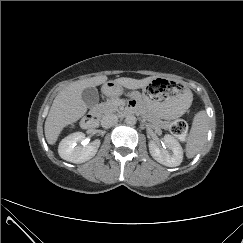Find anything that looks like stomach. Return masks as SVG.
Segmentation results:
<instances>
[{"instance_id":"1","label":"stomach","mask_w":243,"mask_h":243,"mask_svg":"<svg viewBox=\"0 0 243 243\" xmlns=\"http://www.w3.org/2000/svg\"><path fill=\"white\" fill-rule=\"evenodd\" d=\"M119 85L107 82L103 92L109 96L117 94ZM142 99L148 107V113L157 118L172 120L182 116L190 107L193 94L181 82H171L166 79H155L147 83L142 90Z\"/></svg>"}]
</instances>
